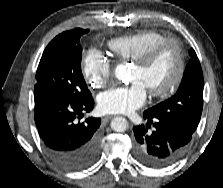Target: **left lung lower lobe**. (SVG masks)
<instances>
[{
  "label": "left lung lower lobe",
  "mask_w": 223,
  "mask_h": 188,
  "mask_svg": "<svg viewBox=\"0 0 223 188\" xmlns=\"http://www.w3.org/2000/svg\"><path fill=\"white\" fill-rule=\"evenodd\" d=\"M144 119L148 120L146 126L133 128L136 159L151 168H163L177 162L185 154L192 134L145 112ZM153 121L154 128L150 131Z\"/></svg>",
  "instance_id": "obj_1"
}]
</instances>
